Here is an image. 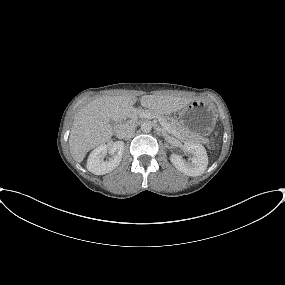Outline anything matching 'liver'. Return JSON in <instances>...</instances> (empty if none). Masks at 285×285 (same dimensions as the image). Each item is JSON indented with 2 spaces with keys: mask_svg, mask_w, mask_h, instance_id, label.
Here are the masks:
<instances>
[{
  "mask_svg": "<svg viewBox=\"0 0 285 285\" xmlns=\"http://www.w3.org/2000/svg\"><path fill=\"white\" fill-rule=\"evenodd\" d=\"M137 98L133 94L99 97L84 106L74 117L69 136L73 159L80 163L87 152L113 136L110 121H121L134 112ZM192 102L191 98L172 95H143L140 103L159 114H171Z\"/></svg>",
  "mask_w": 285,
  "mask_h": 285,
  "instance_id": "1",
  "label": "liver"
}]
</instances>
